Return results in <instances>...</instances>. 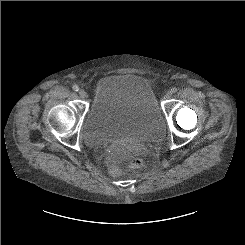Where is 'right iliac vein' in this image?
Instances as JSON below:
<instances>
[{
	"label": "right iliac vein",
	"instance_id": "1",
	"mask_svg": "<svg viewBox=\"0 0 245 245\" xmlns=\"http://www.w3.org/2000/svg\"><path fill=\"white\" fill-rule=\"evenodd\" d=\"M78 94L81 98H85L87 96V92L84 89H80Z\"/></svg>",
	"mask_w": 245,
	"mask_h": 245
}]
</instances>
